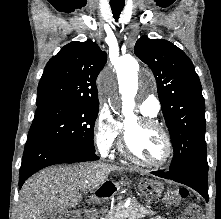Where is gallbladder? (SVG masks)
Masks as SVG:
<instances>
[{"label":"gallbladder","instance_id":"gallbladder-1","mask_svg":"<svg viewBox=\"0 0 221 219\" xmlns=\"http://www.w3.org/2000/svg\"><path fill=\"white\" fill-rule=\"evenodd\" d=\"M42 219H64L62 217V213L60 211L57 210H51V211H47Z\"/></svg>","mask_w":221,"mask_h":219}]
</instances>
